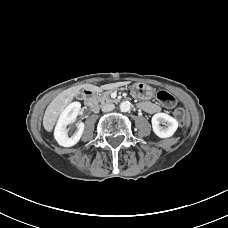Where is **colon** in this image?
<instances>
[{
    "instance_id": "1",
    "label": "colon",
    "mask_w": 228,
    "mask_h": 228,
    "mask_svg": "<svg viewBox=\"0 0 228 228\" xmlns=\"http://www.w3.org/2000/svg\"><path fill=\"white\" fill-rule=\"evenodd\" d=\"M156 97L160 103H162L168 107H173L176 103V99L174 98V96L164 90L159 91L157 93ZM174 114H175L176 119L180 123L184 124L186 122L188 116L184 109L177 108L175 110Z\"/></svg>"
}]
</instances>
